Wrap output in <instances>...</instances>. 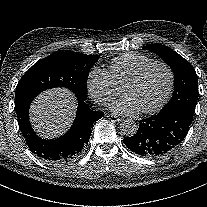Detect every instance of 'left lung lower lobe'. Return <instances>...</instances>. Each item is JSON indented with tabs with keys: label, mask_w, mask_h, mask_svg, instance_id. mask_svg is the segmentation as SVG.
<instances>
[{
	"label": "left lung lower lobe",
	"mask_w": 207,
	"mask_h": 207,
	"mask_svg": "<svg viewBox=\"0 0 207 207\" xmlns=\"http://www.w3.org/2000/svg\"><path fill=\"white\" fill-rule=\"evenodd\" d=\"M193 115L183 109H169L140 121L137 133L123 139L133 152L148 158L172 151L189 131Z\"/></svg>",
	"instance_id": "0a47b994"
}]
</instances>
